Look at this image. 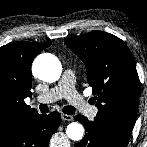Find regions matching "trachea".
<instances>
[{
    "label": "trachea",
    "instance_id": "obj_1",
    "mask_svg": "<svg viewBox=\"0 0 147 147\" xmlns=\"http://www.w3.org/2000/svg\"><path fill=\"white\" fill-rule=\"evenodd\" d=\"M39 109H40V111H41L42 113H47V112L49 111L48 106L45 105V104H40V105H39ZM63 112H64L65 114L72 115V114L75 113V108L72 107V106H65V107L63 108Z\"/></svg>",
    "mask_w": 147,
    "mask_h": 147
}]
</instances>
